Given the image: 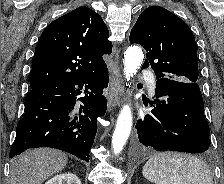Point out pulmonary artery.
<instances>
[{
	"label": "pulmonary artery",
	"instance_id": "obj_1",
	"mask_svg": "<svg viewBox=\"0 0 224 184\" xmlns=\"http://www.w3.org/2000/svg\"><path fill=\"white\" fill-rule=\"evenodd\" d=\"M142 75H148V72L147 71H142ZM155 87H156L155 81L149 82L148 89H149V91H150L151 94L154 93Z\"/></svg>",
	"mask_w": 224,
	"mask_h": 184
}]
</instances>
